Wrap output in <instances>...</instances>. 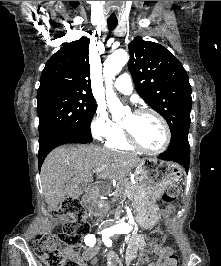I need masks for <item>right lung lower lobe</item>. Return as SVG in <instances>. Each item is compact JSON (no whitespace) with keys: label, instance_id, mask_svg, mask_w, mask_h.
I'll return each mask as SVG.
<instances>
[{"label":"right lung lower lobe","instance_id":"obj_1","mask_svg":"<svg viewBox=\"0 0 221 266\" xmlns=\"http://www.w3.org/2000/svg\"><path fill=\"white\" fill-rule=\"evenodd\" d=\"M93 140L92 137H87L79 133L75 132H65L60 133L48 141L44 142L43 144H39V153H38V163H39V169L42 166V163L45 159V157L48 155V153L53 150L54 148L67 144V143H89Z\"/></svg>","mask_w":221,"mask_h":266}]
</instances>
